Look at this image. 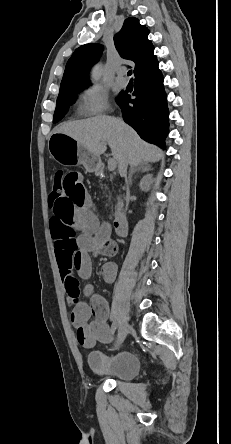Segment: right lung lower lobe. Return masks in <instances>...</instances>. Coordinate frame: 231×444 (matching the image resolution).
<instances>
[{
	"mask_svg": "<svg viewBox=\"0 0 231 444\" xmlns=\"http://www.w3.org/2000/svg\"><path fill=\"white\" fill-rule=\"evenodd\" d=\"M134 87V99L125 94L118 99L123 119L137 131L141 138L165 149V138L169 132V111L163 87V76L158 65L135 77Z\"/></svg>",
	"mask_w": 231,
	"mask_h": 444,
	"instance_id": "98d812e1",
	"label": "right lung lower lobe"
}]
</instances>
